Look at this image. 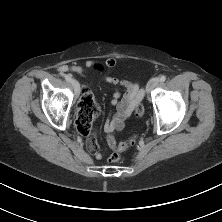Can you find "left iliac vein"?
<instances>
[{
	"instance_id": "left-iliac-vein-1",
	"label": "left iliac vein",
	"mask_w": 222,
	"mask_h": 222,
	"mask_svg": "<svg viewBox=\"0 0 222 222\" xmlns=\"http://www.w3.org/2000/svg\"><path fill=\"white\" fill-rule=\"evenodd\" d=\"M159 84V79L158 78H152L146 87L147 93H149L153 88H155Z\"/></svg>"
}]
</instances>
